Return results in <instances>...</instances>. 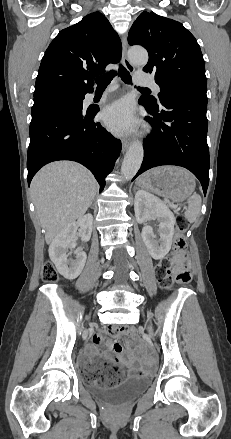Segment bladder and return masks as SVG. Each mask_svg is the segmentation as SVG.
<instances>
[{
	"instance_id": "1",
	"label": "bladder",
	"mask_w": 231,
	"mask_h": 439,
	"mask_svg": "<svg viewBox=\"0 0 231 439\" xmlns=\"http://www.w3.org/2000/svg\"><path fill=\"white\" fill-rule=\"evenodd\" d=\"M102 368L89 358H80L76 363V371L80 377L87 379L96 370ZM104 370V369H101ZM148 375L131 377L113 386L89 385L91 395L104 402L122 403L143 392L150 384Z\"/></svg>"
}]
</instances>
